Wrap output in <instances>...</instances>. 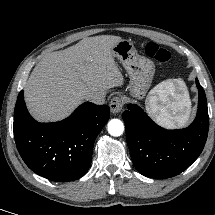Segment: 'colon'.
I'll return each mask as SVG.
<instances>
[{"instance_id":"1","label":"colon","mask_w":215,"mask_h":215,"mask_svg":"<svg viewBox=\"0 0 215 215\" xmlns=\"http://www.w3.org/2000/svg\"><path fill=\"white\" fill-rule=\"evenodd\" d=\"M143 50L147 56L160 63L168 62L171 58L170 52L154 42H145Z\"/></svg>"}]
</instances>
